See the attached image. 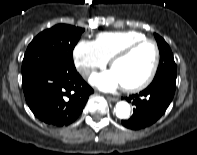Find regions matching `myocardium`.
<instances>
[{"label": "myocardium", "mask_w": 197, "mask_h": 155, "mask_svg": "<svg viewBox=\"0 0 197 155\" xmlns=\"http://www.w3.org/2000/svg\"><path fill=\"white\" fill-rule=\"evenodd\" d=\"M144 44H151L154 48V52H155V57H154V61H153V65L148 73V75L146 76V78L144 80H142L140 83L135 84V85H131V86H125L122 85L123 90L126 92H130V93H135V92H139L145 88H147L151 82L153 81L158 67H159V63H160V50L158 47V44L152 40V39H142V40H138L135 42H132L126 46H124L123 48H121L120 50H118L111 58H110V67L112 68L113 65L120 59L128 56L129 54H131L135 49H137L138 47L144 45Z\"/></svg>", "instance_id": "f54148a6"}]
</instances>
